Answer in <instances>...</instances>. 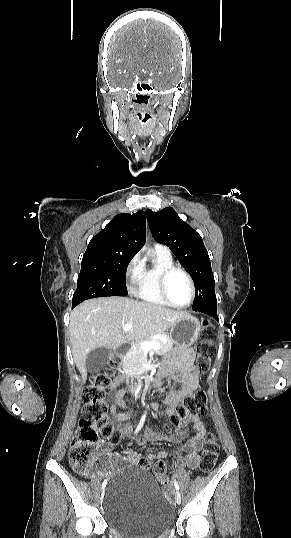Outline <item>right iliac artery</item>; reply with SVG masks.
<instances>
[{
	"instance_id": "obj_1",
	"label": "right iliac artery",
	"mask_w": 291,
	"mask_h": 538,
	"mask_svg": "<svg viewBox=\"0 0 291 538\" xmlns=\"http://www.w3.org/2000/svg\"><path fill=\"white\" fill-rule=\"evenodd\" d=\"M145 417H146L145 415L142 416V418H141V420H140V422H139V424H138V426H137V428H136V430H135V433H138V432L141 430V428H142V426H143V424H144V421H145ZM106 484H107V479H105V480L103 481V483H102V489L105 488Z\"/></svg>"
}]
</instances>
